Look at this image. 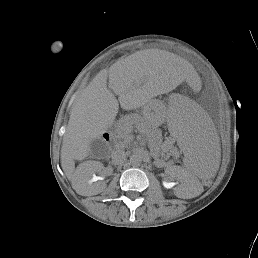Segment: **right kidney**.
Returning a JSON list of instances; mask_svg holds the SVG:
<instances>
[{
	"mask_svg": "<svg viewBox=\"0 0 258 258\" xmlns=\"http://www.w3.org/2000/svg\"><path fill=\"white\" fill-rule=\"evenodd\" d=\"M96 172H101V171H96ZM96 172H94L93 174H92V178L90 179H88L87 180V182H88V184H92L93 182H95V181H97V180H100L101 179V177H97L96 175H95V173ZM102 185L100 186V188L99 189H94L93 191H92V195H94V194H98V193H100V192H102L103 191V189L105 188V186H106V184H105V182H102L101 183Z\"/></svg>",
	"mask_w": 258,
	"mask_h": 258,
	"instance_id": "right-kidney-1",
	"label": "right kidney"
}]
</instances>
